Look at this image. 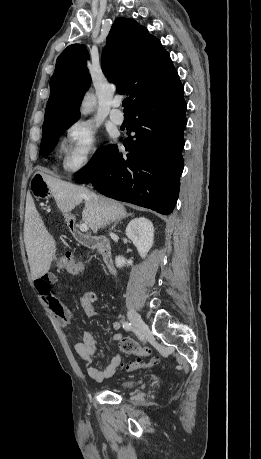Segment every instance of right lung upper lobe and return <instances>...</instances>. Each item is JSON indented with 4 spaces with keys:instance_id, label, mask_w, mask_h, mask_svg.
<instances>
[{
    "instance_id": "1",
    "label": "right lung upper lobe",
    "mask_w": 261,
    "mask_h": 459,
    "mask_svg": "<svg viewBox=\"0 0 261 459\" xmlns=\"http://www.w3.org/2000/svg\"><path fill=\"white\" fill-rule=\"evenodd\" d=\"M102 53V70L118 93H126L130 109L156 98L180 82L169 53L136 21L115 20ZM84 46H68L57 58L43 129L79 119L78 106L91 82Z\"/></svg>"
}]
</instances>
